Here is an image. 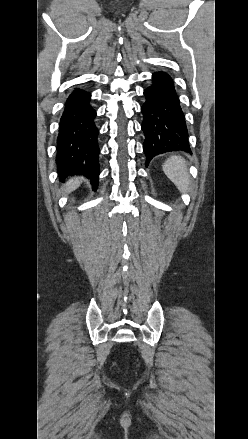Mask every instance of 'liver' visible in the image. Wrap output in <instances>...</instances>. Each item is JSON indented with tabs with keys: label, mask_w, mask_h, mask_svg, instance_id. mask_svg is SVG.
Returning <instances> with one entry per match:
<instances>
[{
	"label": "liver",
	"mask_w": 248,
	"mask_h": 439,
	"mask_svg": "<svg viewBox=\"0 0 248 439\" xmlns=\"http://www.w3.org/2000/svg\"><path fill=\"white\" fill-rule=\"evenodd\" d=\"M80 185V180L77 178L71 179L64 187L65 194L75 190Z\"/></svg>",
	"instance_id": "liver-1"
}]
</instances>
